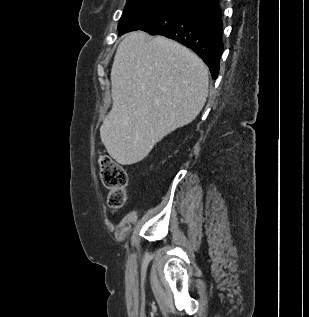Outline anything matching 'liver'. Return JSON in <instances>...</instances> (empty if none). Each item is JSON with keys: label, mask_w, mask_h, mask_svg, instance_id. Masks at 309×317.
Returning a JSON list of instances; mask_svg holds the SVG:
<instances>
[{"label": "liver", "mask_w": 309, "mask_h": 317, "mask_svg": "<svg viewBox=\"0 0 309 317\" xmlns=\"http://www.w3.org/2000/svg\"><path fill=\"white\" fill-rule=\"evenodd\" d=\"M208 84L207 66L183 45L142 31L127 34L111 69L112 109L100 127L107 152L122 165L144 159L197 117Z\"/></svg>", "instance_id": "liver-1"}]
</instances>
